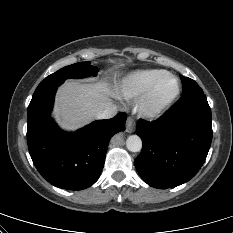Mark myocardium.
<instances>
[{
  "label": "myocardium",
  "mask_w": 233,
  "mask_h": 233,
  "mask_svg": "<svg viewBox=\"0 0 233 233\" xmlns=\"http://www.w3.org/2000/svg\"><path fill=\"white\" fill-rule=\"evenodd\" d=\"M170 78L175 82V89L173 93L168 96L163 101L157 102L156 92L161 84V82ZM181 93V84L177 76L174 74L165 72L161 76H159L153 84L142 94L138 102V111L139 113L146 118H155L161 114H163L179 97Z\"/></svg>",
  "instance_id": "1"
}]
</instances>
